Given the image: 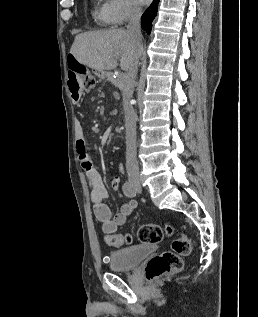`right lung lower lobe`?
<instances>
[{
  "instance_id": "1",
  "label": "right lung lower lobe",
  "mask_w": 258,
  "mask_h": 317,
  "mask_svg": "<svg viewBox=\"0 0 258 317\" xmlns=\"http://www.w3.org/2000/svg\"><path fill=\"white\" fill-rule=\"evenodd\" d=\"M158 2L159 0H154L141 17V26L147 33L151 32V24L157 14Z\"/></svg>"
}]
</instances>
